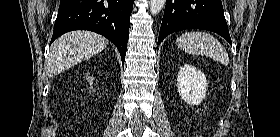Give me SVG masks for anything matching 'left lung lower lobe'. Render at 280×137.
Masks as SVG:
<instances>
[{
    "instance_id": "1",
    "label": "left lung lower lobe",
    "mask_w": 280,
    "mask_h": 137,
    "mask_svg": "<svg viewBox=\"0 0 280 137\" xmlns=\"http://www.w3.org/2000/svg\"><path fill=\"white\" fill-rule=\"evenodd\" d=\"M184 29H203L231 38L221 0H167L158 43Z\"/></svg>"
}]
</instances>
